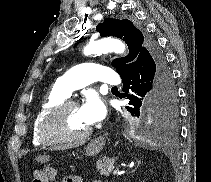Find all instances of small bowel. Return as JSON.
Returning <instances> with one entry per match:
<instances>
[{
  "label": "small bowel",
  "instance_id": "c3829d8e",
  "mask_svg": "<svg viewBox=\"0 0 211 182\" xmlns=\"http://www.w3.org/2000/svg\"><path fill=\"white\" fill-rule=\"evenodd\" d=\"M63 182H83V180L79 176H68Z\"/></svg>",
  "mask_w": 211,
  "mask_h": 182
}]
</instances>
